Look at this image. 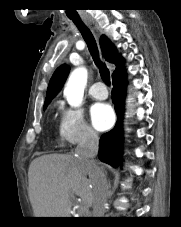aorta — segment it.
I'll use <instances>...</instances> for the list:
<instances>
[{"label": "aorta", "instance_id": "762f6f07", "mask_svg": "<svg viewBox=\"0 0 181 227\" xmlns=\"http://www.w3.org/2000/svg\"><path fill=\"white\" fill-rule=\"evenodd\" d=\"M87 77V69L83 67L74 69L70 74L64 88V97L70 106L79 107L82 105Z\"/></svg>", "mask_w": 181, "mask_h": 227}]
</instances>
